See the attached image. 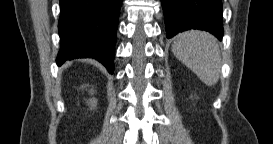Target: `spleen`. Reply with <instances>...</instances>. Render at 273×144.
<instances>
[{
	"mask_svg": "<svg viewBox=\"0 0 273 144\" xmlns=\"http://www.w3.org/2000/svg\"><path fill=\"white\" fill-rule=\"evenodd\" d=\"M172 52L207 86L218 82L221 57L213 35L197 30L180 33L174 40Z\"/></svg>",
	"mask_w": 273,
	"mask_h": 144,
	"instance_id": "3e777b00",
	"label": "spleen"
}]
</instances>
